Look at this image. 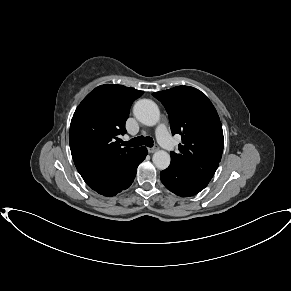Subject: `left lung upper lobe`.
Returning <instances> with one entry per match:
<instances>
[{
  "instance_id": "1",
  "label": "left lung upper lobe",
  "mask_w": 291,
  "mask_h": 291,
  "mask_svg": "<svg viewBox=\"0 0 291 291\" xmlns=\"http://www.w3.org/2000/svg\"><path fill=\"white\" fill-rule=\"evenodd\" d=\"M169 115L172 134L182 136L171 164L197 178L210 181L221 160L222 125L211 101L196 88L177 86L153 93Z\"/></svg>"
}]
</instances>
